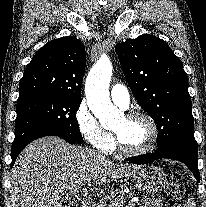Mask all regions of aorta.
Returning <instances> with one entry per match:
<instances>
[{"instance_id": "762f6f07", "label": "aorta", "mask_w": 206, "mask_h": 207, "mask_svg": "<svg viewBox=\"0 0 206 207\" xmlns=\"http://www.w3.org/2000/svg\"><path fill=\"white\" fill-rule=\"evenodd\" d=\"M113 67L107 57H101L91 69L85 83L89 109L103 126H109L119 116V110L109 96V83Z\"/></svg>"}]
</instances>
